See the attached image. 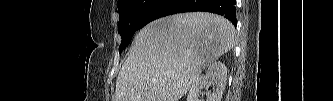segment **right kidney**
I'll return each instance as SVG.
<instances>
[{"mask_svg": "<svg viewBox=\"0 0 333 101\" xmlns=\"http://www.w3.org/2000/svg\"><path fill=\"white\" fill-rule=\"evenodd\" d=\"M227 81V67L220 61L213 62L206 70L205 75L198 76L187 96V101H200L201 90L212 86V91L206 92L207 101H221Z\"/></svg>", "mask_w": 333, "mask_h": 101, "instance_id": "1", "label": "right kidney"}]
</instances>
